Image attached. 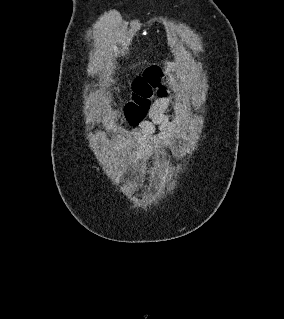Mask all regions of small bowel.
<instances>
[{
  "instance_id": "small-bowel-1",
  "label": "small bowel",
  "mask_w": 284,
  "mask_h": 319,
  "mask_svg": "<svg viewBox=\"0 0 284 319\" xmlns=\"http://www.w3.org/2000/svg\"><path fill=\"white\" fill-rule=\"evenodd\" d=\"M171 106H180L172 98H161L150 110V120L143 121L131 133L130 141L143 160L159 155L160 149L172 143L176 129L167 111Z\"/></svg>"
}]
</instances>
